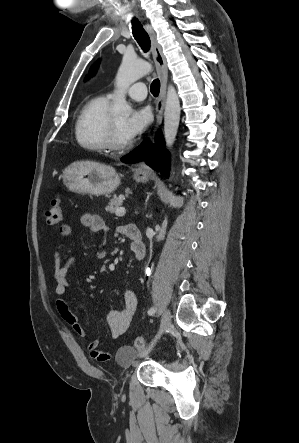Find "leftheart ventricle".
I'll list each match as a JSON object with an SVG mask.
<instances>
[{"label":"left heart ventricle","instance_id":"obj_1","mask_svg":"<svg viewBox=\"0 0 299 443\" xmlns=\"http://www.w3.org/2000/svg\"><path fill=\"white\" fill-rule=\"evenodd\" d=\"M125 120H126L125 117H114L113 118V121H114L117 131H118L119 139L122 142L129 141V139L124 135L123 130H122Z\"/></svg>","mask_w":299,"mask_h":443}]
</instances>
